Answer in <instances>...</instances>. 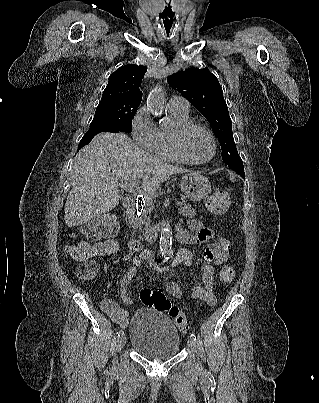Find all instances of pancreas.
<instances>
[{
  "instance_id": "pancreas-1",
  "label": "pancreas",
  "mask_w": 319,
  "mask_h": 403,
  "mask_svg": "<svg viewBox=\"0 0 319 403\" xmlns=\"http://www.w3.org/2000/svg\"><path fill=\"white\" fill-rule=\"evenodd\" d=\"M153 208V203L146 201L141 213L135 217L133 227L140 230H147L150 226V213ZM179 212L182 214V216L188 218H193L196 216V211L191 207V205H187L185 202L179 208Z\"/></svg>"
}]
</instances>
